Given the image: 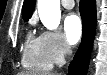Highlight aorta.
<instances>
[{
	"label": "aorta",
	"mask_w": 107,
	"mask_h": 75,
	"mask_svg": "<svg viewBox=\"0 0 107 75\" xmlns=\"http://www.w3.org/2000/svg\"><path fill=\"white\" fill-rule=\"evenodd\" d=\"M38 13L41 22L49 30H56L60 24L61 11L59 0H38Z\"/></svg>",
	"instance_id": "1"
}]
</instances>
